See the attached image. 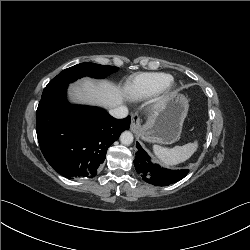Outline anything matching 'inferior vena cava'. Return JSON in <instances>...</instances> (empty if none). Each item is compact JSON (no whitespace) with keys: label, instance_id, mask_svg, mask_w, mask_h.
Here are the masks:
<instances>
[{"label":"inferior vena cava","instance_id":"obj_1","mask_svg":"<svg viewBox=\"0 0 250 250\" xmlns=\"http://www.w3.org/2000/svg\"><path fill=\"white\" fill-rule=\"evenodd\" d=\"M109 114L117 119L126 118L128 116V109L126 106H119L109 110Z\"/></svg>","mask_w":250,"mask_h":250}]
</instances>
